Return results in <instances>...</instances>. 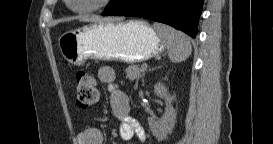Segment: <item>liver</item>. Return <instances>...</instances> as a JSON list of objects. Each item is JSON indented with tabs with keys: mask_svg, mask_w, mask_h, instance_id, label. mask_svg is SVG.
<instances>
[{
	"mask_svg": "<svg viewBox=\"0 0 273 144\" xmlns=\"http://www.w3.org/2000/svg\"><path fill=\"white\" fill-rule=\"evenodd\" d=\"M89 21H92V22H95V23H99V22H108V21L117 22V21H120V20L110 19V18H107V19L95 18V19H89Z\"/></svg>",
	"mask_w": 273,
	"mask_h": 144,
	"instance_id": "6515ba94",
	"label": "liver"
}]
</instances>
